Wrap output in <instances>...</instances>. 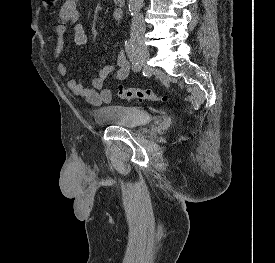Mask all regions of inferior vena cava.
I'll return each mask as SVG.
<instances>
[{
	"label": "inferior vena cava",
	"instance_id": "1",
	"mask_svg": "<svg viewBox=\"0 0 275 263\" xmlns=\"http://www.w3.org/2000/svg\"><path fill=\"white\" fill-rule=\"evenodd\" d=\"M145 29H146V25L144 22L143 15L140 13L135 14L134 18L132 19V24H131L132 34L143 33L145 31Z\"/></svg>",
	"mask_w": 275,
	"mask_h": 263
}]
</instances>
